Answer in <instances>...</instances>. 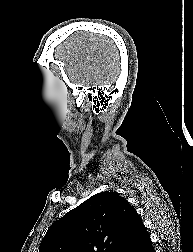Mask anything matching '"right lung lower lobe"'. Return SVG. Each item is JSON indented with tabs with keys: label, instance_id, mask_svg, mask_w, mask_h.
I'll list each match as a JSON object with an SVG mask.
<instances>
[{
	"label": "right lung lower lobe",
	"instance_id": "1",
	"mask_svg": "<svg viewBox=\"0 0 193 252\" xmlns=\"http://www.w3.org/2000/svg\"><path fill=\"white\" fill-rule=\"evenodd\" d=\"M127 252H155L146 229L141 231L137 241Z\"/></svg>",
	"mask_w": 193,
	"mask_h": 252
}]
</instances>
